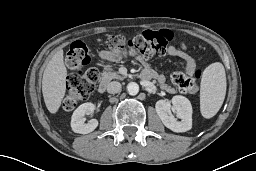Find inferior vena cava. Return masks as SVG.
I'll use <instances>...</instances> for the list:
<instances>
[{
  "instance_id": "1",
  "label": "inferior vena cava",
  "mask_w": 256,
  "mask_h": 171,
  "mask_svg": "<svg viewBox=\"0 0 256 171\" xmlns=\"http://www.w3.org/2000/svg\"><path fill=\"white\" fill-rule=\"evenodd\" d=\"M107 92L110 94H115L121 92V84L117 81L110 82L107 85Z\"/></svg>"
}]
</instances>
